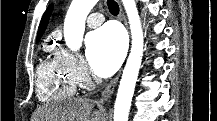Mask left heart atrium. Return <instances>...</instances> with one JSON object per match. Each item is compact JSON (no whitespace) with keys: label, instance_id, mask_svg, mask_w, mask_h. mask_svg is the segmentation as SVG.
I'll list each match as a JSON object with an SVG mask.
<instances>
[{"label":"left heart atrium","instance_id":"39dd6f15","mask_svg":"<svg viewBox=\"0 0 217 121\" xmlns=\"http://www.w3.org/2000/svg\"><path fill=\"white\" fill-rule=\"evenodd\" d=\"M87 59L94 73L107 77L121 64L126 52V38L122 29L107 24L86 37Z\"/></svg>","mask_w":217,"mask_h":121}]
</instances>
